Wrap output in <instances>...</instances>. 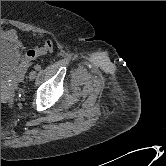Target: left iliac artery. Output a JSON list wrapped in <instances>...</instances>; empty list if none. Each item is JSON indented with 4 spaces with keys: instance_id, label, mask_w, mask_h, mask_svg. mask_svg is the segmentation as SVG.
<instances>
[{
    "instance_id": "obj_1",
    "label": "left iliac artery",
    "mask_w": 166,
    "mask_h": 166,
    "mask_svg": "<svg viewBox=\"0 0 166 166\" xmlns=\"http://www.w3.org/2000/svg\"><path fill=\"white\" fill-rule=\"evenodd\" d=\"M34 68L38 71V70L41 69V66L37 64V65L34 66Z\"/></svg>"
}]
</instances>
